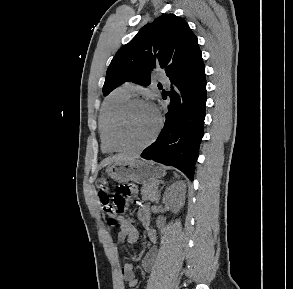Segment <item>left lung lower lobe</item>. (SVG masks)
<instances>
[{"label":"left lung lower lobe","instance_id":"obj_1","mask_svg":"<svg viewBox=\"0 0 293 289\" xmlns=\"http://www.w3.org/2000/svg\"><path fill=\"white\" fill-rule=\"evenodd\" d=\"M170 103L157 140L141 154L181 170L193 180L194 166L203 137L206 78L201 52L183 69L169 77Z\"/></svg>","mask_w":293,"mask_h":289}]
</instances>
